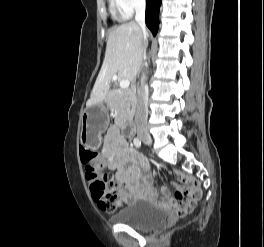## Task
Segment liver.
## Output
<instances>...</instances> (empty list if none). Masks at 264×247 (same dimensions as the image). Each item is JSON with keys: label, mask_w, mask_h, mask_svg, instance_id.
I'll use <instances>...</instances> for the list:
<instances>
[{"label": "liver", "mask_w": 264, "mask_h": 247, "mask_svg": "<svg viewBox=\"0 0 264 247\" xmlns=\"http://www.w3.org/2000/svg\"><path fill=\"white\" fill-rule=\"evenodd\" d=\"M147 34L134 22L120 25L113 30L107 41L105 58L98 74L87 107L104 101L109 93L110 81L117 76L119 81H133L140 71Z\"/></svg>", "instance_id": "6515ba94"}]
</instances>
